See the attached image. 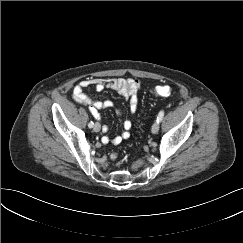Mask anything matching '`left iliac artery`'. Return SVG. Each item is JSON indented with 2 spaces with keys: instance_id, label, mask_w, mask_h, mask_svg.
I'll return each instance as SVG.
<instances>
[{
  "instance_id": "44dca946",
  "label": "left iliac artery",
  "mask_w": 243,
  "mask_h": 243,
  "mask_svg": "<svg viewBox=\"0 0 243 243\" xmlns=\"http://www.w3.org/2000/svg\"><path fill=\"white\" fill-rule=\"evenodd\" d=\"M163 116H164V111H160L158 116H157V122L160 123L163 119Z\"/></svg>"
}]
</instances>
